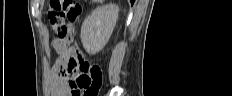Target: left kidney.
<instances>
[{"instance_id": "obj_1", "label": "left kidney", "mask_w": 232, "mask_h": 96, "mask_svg": "<svg viewBox=\"0 0 232 96\" xmlns=\"http://www.w3.org/2000/svg\"><path fill=\"white\" fill-rule=\"evenodd\" d=\"M119 7L114 4L96 8L81 27V41L89 54L101 51L111 37L118 18Z\"/></svg>"}]
</instances>
